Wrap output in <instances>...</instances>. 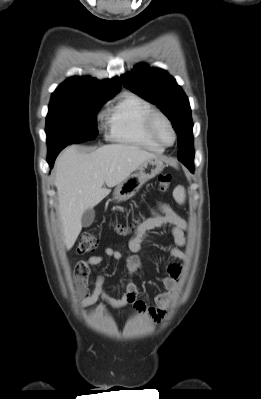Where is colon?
Instances as JSON below:
<instances>
[{"mask_svg": "<svg viewBox=\"0 0 261 399\" xmlns=\"http://www.w3.org/2000/svg\"><path fill=\"white\" fill-rule=\"evenodd\" d=\"M172 176L168 173H162L158 176V189L160 192H167L172 184ZM140 222V218H134L129 225L118 226L117 230L121 234L129 233L133 228H135ZM98 240L96 236L89 231L83 232L79 238L76 250L79 254H86L93 251L97 246Z\"/></svg>", "mask_w": 261, "mask_h": 399, "instance_id": "obj_1", "label": "colon"}]
</instances>
